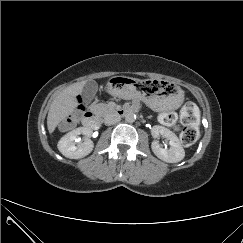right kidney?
<instances>
[{
	"instance_id": "obj_1",
	"label": "right kidney",
	"mask_w": 243,
	"mask_h": 243,
	"mask_svg": "<svg viewBox=\"0 0 243 243\" xmlns=\"http://www.w3.org/2000/svg\"><path fill=\"white\" fill-rule=\"evenodd\" d=\"M84 135V141H79V136ZM92 130L87 127L76 128L64 135L58 142L59 151L67 158L80 159L87 156L94 147L90 139Z\"/></svg>"
}]
</instances>
